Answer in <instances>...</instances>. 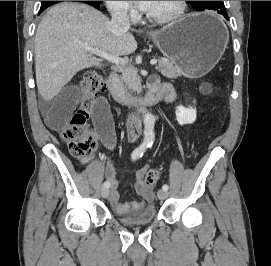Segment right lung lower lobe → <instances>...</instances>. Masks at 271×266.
Here are the masks:
<instances>
[{
  "instance_id": "1",
  "label": "right lung lower lobe",
  "mask_w": 271,
  "mask_h": 266,
  "mask_svg": "<svg viewBox=\"0 0 271 266\" xmlns=\"http://www.w3.org/2000/svg\"><path fill=\"white\" fill-rule=\"evenodd\" d=\"M78 2L89 4V5L93 6V7H95L96 9H99L100 4H101V3H98L96 1H78ZM47 7H49V6L41 7L40 11H39V14L42 13Z\"/></svg>"
}]
</instances>
